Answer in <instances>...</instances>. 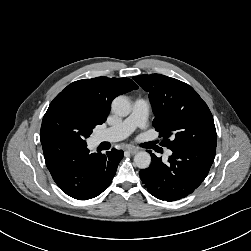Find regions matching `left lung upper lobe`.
Returning <instances> with one entry per match:
<instances>
[{"label": "left lung upper lobe", "mask_w": 251, "mask_h": 251, "mask_svg": "<svg viewBox=\"0 0 251 251\" xmlns=\"http://www.w3.org/2000/svg\"><path fill=\"white\" fill-rule=\"evenodd\" d=\"M133 79L149 93L155 118L153 126L169 149L217 145L213 116L198 93L188 84L161 74ZM171 138V140L169 139Z\"/></svg>", "instance_id": "5c2ea615"}]
</instances>
